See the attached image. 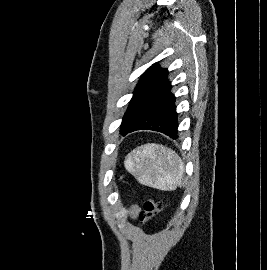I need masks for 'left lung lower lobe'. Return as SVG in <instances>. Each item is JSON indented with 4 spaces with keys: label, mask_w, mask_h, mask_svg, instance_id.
Returning a JSON list of instances; mask_svg holds the SVG:
<instances>
[{
    "label": "left lung lower lobe",
    "mask_w": 267,
    "mask_h": 270,
    "mask_svg": "<svg viewBox=\"0 0 267 270\" xmlns=\"http://www.w3.org/2000/svg\"><path fill=\"white\" fill-rule=\"evenodd\" d=\"M171 87L169 83L161 95L123 136L136 130H154L164 133L172 139L178 138L175 96L171 93Z\"/></svg>",
    "instance_id": "left-lung-lower-lobe-1"
}]
</instances>
